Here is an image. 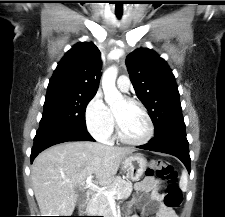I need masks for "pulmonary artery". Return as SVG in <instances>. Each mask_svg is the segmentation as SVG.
Instances as JSON below:
<instances>
[{
	"mask_svg": "<svg viewBox=\"0 0 225 217\" xmlns=\"http://www.w3.org/2000/svg\"><path fill=\"white\" fill-rule=\"evenodd\" d=\"M117 87L123 91V92H127L129 90L130 87V80L127 76L125 75H121L118 77L117 79Z\"/></svg>",
	"mask_w": 225,
	"mask_h": 217,
	"instance_id": "e3ab8cb5",
	"label": "pulmonary artery"
}]
</instances>
